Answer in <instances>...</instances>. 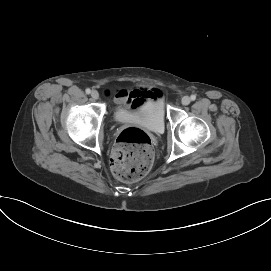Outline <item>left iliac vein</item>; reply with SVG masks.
<instances>
[{"mask_svg":"<svg viewBox=\"0 0 271 271\" xmlns=\"http://www.w3.org/2000/svg\"><path fill=\"white\" fill-rule=\"evenodd\" d=\"M190 102H191V99H190V97H188V96H184V97L181 99V103H182L183 105H188Z\"/></svg>","mask_w":271,"mask_h":271,"instance_id":"1","label":"left iliac vein"}]
</instances>
